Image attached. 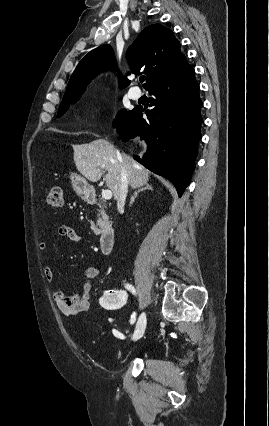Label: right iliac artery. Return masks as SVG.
Returning a JSON list of instances; mask_svg holds the SVG:
<instances>
[{"label": "right iliac artery", "mask_w": 269, "mask_h": 426, "mask_svg": "<svg viewBox=\"0 0 269 426\" xmlns=\"http://www.w3.org/2000/svg\"><path fill=\"white\" fill-rule=\"evenodd\" d=\"M126 288L130 291V292H132V294H136V290H135V288H134V286H132V285H130V284H127L126 285ZM135 320H136V313L134 312L132 315H131V320H130V323L131 324H133L134 322H135Z\"/></svg>", "instance_id": "82829eb1"}]
</instances>
